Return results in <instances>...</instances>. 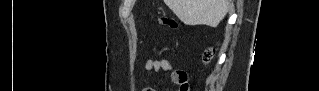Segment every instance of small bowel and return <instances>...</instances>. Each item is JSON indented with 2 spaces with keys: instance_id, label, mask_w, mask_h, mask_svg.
Here are the masks:
<instances>
[{
  "instance_id": "obj_1",
  "label": "small bowel",
  "mask_w": 319,
  "mask_h": 91,
  "mask_svg": "<svg viewBox=\"0 0 319 91\" xmlns=\"http://www.w3.org/2000/svg\"><path fill=\"white\" fill-rule=\"evenodd\" d=\"M144 68L146 71H153V70H157V71H167V70H170L172 68V65L171 63L166 60V59H161V60H147L145 62V65H144ZM181 72H175L173 73L172 75V80L175 82V83H178V78H179V75H180Z\"/></svg>"
}]
</instances>
